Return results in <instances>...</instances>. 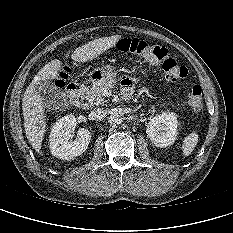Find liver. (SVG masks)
<instances>
[{
    "label": "liver",
    "mask_w": 233,
    "mask_h": 233,
    "mask_svg": "<svg viewBox=\"0 0 233 233\" xmlns=\"http://www.w3.org/2000/svg\"><path fill=\"white\" fill-rule=\"evenodd\" d=\"M121 39V35H113L90 41L87 44L75 49L71 56L72 60L75 62H87L93 60L100 54L115 46ZM61 71L62 62L60 60L55 59L48 62L35 75L24 93L22 110L24 116L25 133L30 145L36 152H39L41 149L46 122L44 102L40 94L35 90V87L40 81L57 79L58 74Z\"/></svg>",
    "instance_id": "obj_1"
}]
</instances>
